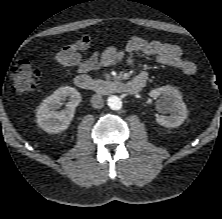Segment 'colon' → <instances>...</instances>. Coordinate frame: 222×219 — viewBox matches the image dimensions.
<instances>
[{"mask_svg": "<svg viewBox=\"0 0 222 219\" xmlns=\"http://www.w3.org/2000/svg\"><path fill=\"white\" fill-rule=\"evenodd\" d=\"M43 75L41 69L35 67L29 60L19 61L12 69V87L16 93H23L34 90ZM212 85H216V81L212 79Z\"/></svg>", "mask_w": 222, "mask_h": 219, "instance_id": "5ec220e1", "label": "colon"}]
</instances>
